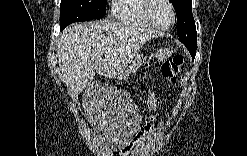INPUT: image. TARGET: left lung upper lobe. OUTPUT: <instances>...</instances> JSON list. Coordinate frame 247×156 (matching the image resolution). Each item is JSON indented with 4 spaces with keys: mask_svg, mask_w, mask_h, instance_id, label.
<instances>
[{
    "mask_svg": "<svg viewBox=\"0 0 247 156\" xmlns=\"http://www.w3.org/2000/svg\"><path fill=\"white\" fill-rule=\"evenodd\" d=\"M177 15V33L180 41L189 52H196L197 33L195 21L192 15L191 0H171Z\"/></svg>",
    "mask_w": 247,
    "mask_h": 156,
    "instance_id": "obj_1",
    "label": "left lung upper lobe"
}]
</instances>
